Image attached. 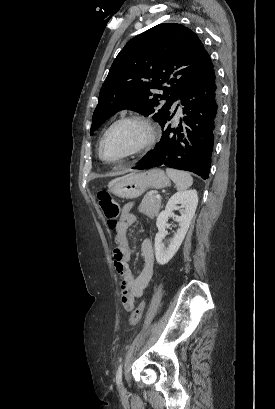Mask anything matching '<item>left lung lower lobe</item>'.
Instances as JSON below:
<instances>
[{
    "label": "left lung lower lobe",
    "mask_w": 275,
    "mask_h": 409,
    "mask_svg": "<svg viewBox=\"0 0 275 409\" xmlns=\"http://www.w3.org/2000/svg\"><path fill=\"white\" fill-rule=\"evenodd\" d=\"M220 85L214 67L191 82L179 95L183 123L172 128L177 108L160 124L161 140L133 169L167 166L209 178L214 139L220 121Z\"/></svg>",
    "instance_id": "1"
}]
</instances>
